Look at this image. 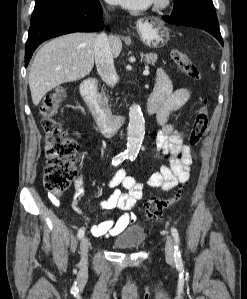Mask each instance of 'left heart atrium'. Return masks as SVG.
Segmentation results:
<instances>
[{"mask_svg":"<svg viewBox=\"0 0 247 299\" xmlns=\"http://www.w3.org/2000/svg\"><path fill=\"white\" fill-rule=\"evenodd\" d=\"M109 3L117 4L128 9H143L149 6L153 0H107Z\"/></svg>","mask_w":247,"mask_h":299,"instance_id":"39dd6f15","label":"left heart atrium"}]
</instances>
